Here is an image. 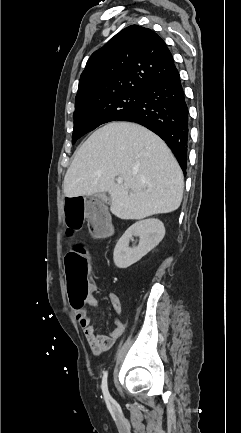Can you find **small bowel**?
<instances>
[{"label":"small bowel","mask_w":241,"mask_h":433,"mask_svg":"<svg viewBox=\"0 0 241 433\" xmlns=\"http://www.w3.org/2000/svg\"><path fill=\"white\" fill-rule=\"evenodd\" d=\"M94 290H96L95 287ZM108 297L112 310L115 314L114 328L108 335H103L96 332L92 320L88 316L87 310L85 308L82 310V312H74L80 327L83 329L84 336L89 346L97 355L108 350L113 343L122 336L125 330V325L119 319L122 314V305L118 295L114 292H109ZM87 304L93 307L98 306V300L93 293L92 296L87 300Z\"/></svg>","instance_id":"small-bowel-1"}]
</instances>
